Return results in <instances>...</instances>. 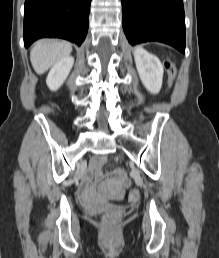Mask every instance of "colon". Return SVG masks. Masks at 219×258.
<instances>
[{
    "instance_id": "5ec220e1",
    "label": "colon",
    "mask_w": 219,
    "mask_h": 258,
    "mask_svg": "<svg viewBox=\"0 0 219 258\" xmlns=\"http://www.w3.org/2000/svg\"><path fill=\"white\" fill-rule=\"evenodd\" d=\"M165 69L167 71L168 74V84L169 87H172L174 85L175 79H176V75H177V67L175 65L174 62L167 60L165 62ZM139 191L134 189L130 192L129 194V199L131 201H136L139 198ZM121 218V214L120 211L117 209H112L110 211H108L103 218V223H104V227L106 229L107 232H112L114 231L120 221Z\"/></svg>"
}]
</instances>
